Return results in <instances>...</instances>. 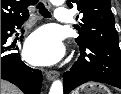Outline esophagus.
<instances>
[{
    "label": "esophagus",
    "mask_w": 121,
    "mask_h": 94,
    "mask_svg": "<svg viewBox=\"0 0 121 94\" xmlns=\"http://www.w3.org/2000/svg\"><path fill=\"white\" fill-rule=\"evenodd\" d=\"M44 4L46 7H50L51 4L49 2V0H43ZM59 75V73L57 71H46V78L48 80H54L55 78H57Z\"/></svg>",
    "instance_id": "34e87169"
}]
</instances>
